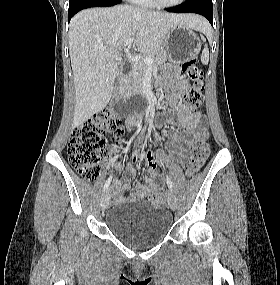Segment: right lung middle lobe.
<instances>
[{"mask_svg":"<svg viewBox=\"0 0 280 285\" xmlns=\"http://www.w3.org/2000/svg\"><path fill=\"white\" fill-rule=\"evenodd\" d=\"M72 1H74V0H69V2H72Z\"/></svg>","mask_w":280,"mask_h":285,"instance_id":"right-lung-middle-lobe-1","label":"right lung middle lobe"}]
</instances>
